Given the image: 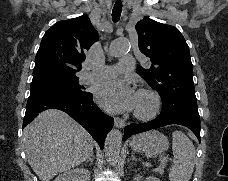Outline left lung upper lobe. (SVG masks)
I'll list each match as a JSON object with an SVG mask.
<instances>
[{
  "label": "left lung upper lobe",
  "mask_w": 228,
  "mask_h": 181,
  "mask_svg": "<svg viewBox=\"0 0 228 181\" xmlns=\"http://www.w3.org/2000/svg\"><path fill=\"white\" fill-rule=\"evenodd\" d=\"M139 49L150 58V67L137 73L161 96L162 119L200 122L189 47L180 31L148 17L136 26Z\"/></svg>",
  "instance_id": "obj_1"
}]
</instances>
